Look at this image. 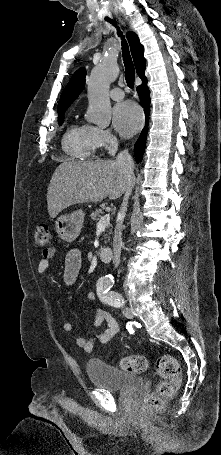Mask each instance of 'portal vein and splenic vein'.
<instances>
[{
    "label": "portal vein and splenic vein",
    "instance_id": "18ae733b",
    "mask_svg": "<svg viewBox=\"0 0 221 455\" xmlns=\"http://www.w3.org/2000/svg\"><path fill=\"white\" fill-rule=\"evenodd\" d=\"M110 223V214H106L100 218L97 223V228H106Z\"/></svg>",
    "mask_w": 221,
    "mask_h": 455
}]
</instances>
